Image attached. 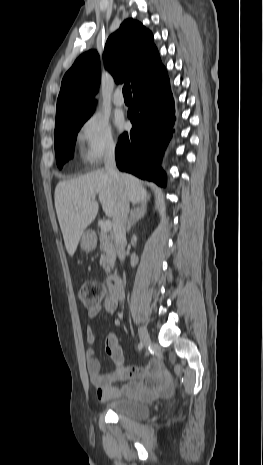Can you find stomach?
Wrapping results in <instances>:
<instances>
[{
  "label": "stomach",
  "mask_w": 263,
  "mask_h": 465,
  "mask_svg": "<svg viewBox=\"0 0 263 465\" xmlns=\"http://www.w3.org/2000/svg\"><path fill=\"white\" fill-rule=\"evenodd\" d=\"M80 247L85 252H90L95 249L96 247V237L95 235L87 231L82 235Z\"/></svg>",
  "instance_id": "obj_1"
}]
</instances>
